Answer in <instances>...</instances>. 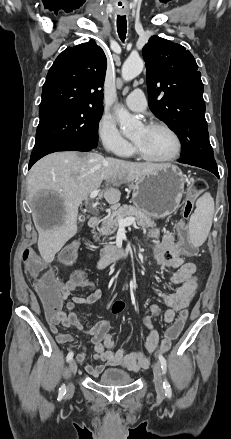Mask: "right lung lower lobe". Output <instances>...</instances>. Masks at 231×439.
I'll list each match as a JSON object with an SVG mask.
<instances>
[{
    "label": "right lung lower lobe",
    "instance_id": "98d812e1",
    "mask_svg": "<svg viewBox=\"0 0 231 439\" xmlns=\"http://www.w3.org/2000/svg\"><path fill=\"white\" fill-rule=\"evenodd\" d=\"M93 148L89 147V146H84V145H77V144H64V145H58V146H52V147H47V148H42V149H34L31 153V158H30V162H29V167L28 169H30L32 167V165L38 161L40 158H42L43 156L53 153V152H57V151H91Z\"/></svg>",
    "mask_w": 231,
    "mask_h": 439
}]
</instances>
